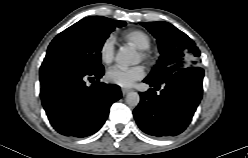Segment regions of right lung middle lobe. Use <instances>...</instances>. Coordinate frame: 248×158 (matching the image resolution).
<instances>
[{
  "mask_svg": "<svg viewBox=\"0 0 248 158\" xmlns=\"http://www.w3.org/2000/svg\"><path fill=\"white\" fill-rule=\"evenodd\" d=\"M125 24L101 16L84 18L53 39L43 64L70 65L83 70L102 68L100 52L105 40L116 26Z\"/></svg>",
  "mask_w": 248,
  "mask_h": 158,
  "instance_id": "1",
  "label": "right lung middle lobe"
}]
</instances>
